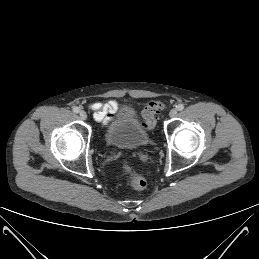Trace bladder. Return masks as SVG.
<instances>
[{
    "instance_id": "1",
    "label": "bladder",
    "mask_w": 259,
    "mask_h": 259,
    "mask_svg": "<svg viewBox=\"0 0 259 259\" xmlns=\"http://www.w3.org/2000/svg\"><path fill=\"white\" fill-rule=\"evenodd\" d=\"M108 144L124 149H137L150 143V137L137 113L126 108L118 112L105 130Z\"/></svg>"
}]
</instances>
